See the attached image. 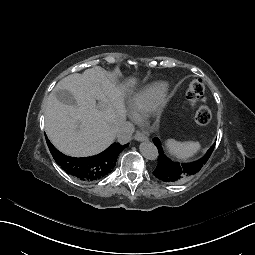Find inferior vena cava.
Returning <instances> with one entry per match:
<instances>
[{
	"instance_id": "602c4592",
	"label": "inferior vena cava",
	"mask_w": 255,
	"mask_h": 255,
	"mask_svg": "<svg viewBox=\"0 0 255 255\" xmlns=\"http://www.w3.org/2000/svg\"><path fill=\"white\" fill-rule=\"evenodd\" d=\"M134 131H135L134 126L130 123H125L121 125L117 132V141L120 144L129 143Z\"/></svg>"
}]
</instances>
